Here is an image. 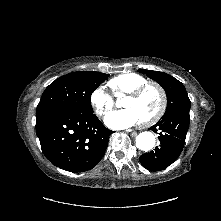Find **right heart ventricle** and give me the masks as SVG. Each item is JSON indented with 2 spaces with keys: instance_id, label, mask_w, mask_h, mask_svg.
Listing matches in <instances>:
<instances>
[{
  "instance_id": "obj_1",
  "label": "right heart ventricle",
  "mask_w": 221,
  "mask_h": 221,
  "mask_svg": "<svg viewBox=\"0 0 221 221\" xmlns=\"http://www.w3.org/2000/svg\"><path fill=\"white\" fill-rule=\"evenodd\" d=\"M147 82V79L136 73L118 75L108 81L107 86L115 96L128 94L130 91Z\"/></svg>"
}]
</instances>
